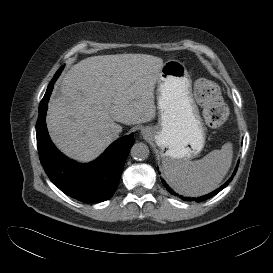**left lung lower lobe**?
Listing matches in <instances>:
<instances>
[{"label": "left lung lower lobe", "instance_id": "left-lung-lower-lobe-1", "mask_svg": "<svg viewBox=\"0 0 273 273\" xmlns=\"http://www.w3.org/2000/svg\"><path fill=\"white\" fill-rule=\"evenodd\" d=\"M238 165H239V162H238V164H237V167L235 168V171H234L232 177H231L223 186H221V187L218 188L217 190H215V191H213V192H211V193H209V194H207V195L198 197V198H192V199H191L190 197H186V198L183 197V199L186 200V201H191V200H193V201L200 202V201H204V200H207V199L213 197L214 195H216L217 193H219L223 188H225V187L229 184V182L233 179V176L235 175V173H236V171H237ZM162 183H163V185L165 186V188H166L171 194L177 196V194L174 193V192L168 187V185L164 182V180H162Z\"/></svg>", "mask_w": 273, "mask_h": 273}]
</instances>
